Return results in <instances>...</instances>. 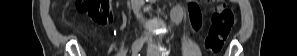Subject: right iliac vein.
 <instances>
[{"instance_id": "63e3f726", "label": "right iliac vein", "mask_w": 297, "mask_h": 56, "mask_svg": "<svg viewBox=\"0 0 297 56\" xmlns=\"http://www.w3.org/2000/svg\"><path fill=\"white\" fill-rule=\"evenodd\" d=\"M144 42H145V39L142 37L135 40V42L132 45V53L134 55H137V53L141 50Z\"/></svg>"}]
</instances>
